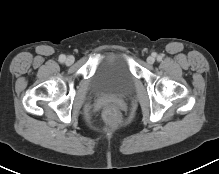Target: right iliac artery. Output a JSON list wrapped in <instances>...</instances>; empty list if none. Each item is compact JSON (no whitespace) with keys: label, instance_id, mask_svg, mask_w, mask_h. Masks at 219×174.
I'll list each match as a JSON object with an SVG mask.
<instances>
[{"label":"right iliac artery","instance_id":"right-iliac-artery-1","mask_svg":"<svg viewBox=\"0 0 219 174\" xmlns=\"http://www.w3.org/2000/svg\"><path fill=\"white\" fill-rule=\"evenodd\" d=\"M65 59H66L65 55H60V57H59L60 62H64Z\"/></svg>","mask_w":219,"mask_h":174}]
</instances>
